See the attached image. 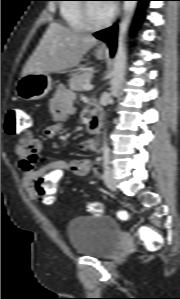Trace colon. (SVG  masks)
Wrapping results in <instances>:
<instances>
[{"mask_svg": "<svg viewBox=\"0 0 180 299\" xmlns=\"http://www.w3.org/2000/svg\"><path fill=\"white\" fill-rule=\"evenodd\" d=\"M30 120V115L23 109H10L5 122V131L12 136L18 135L29 127ZM37 191L43 203L52 204L56 198L57 186L55 182L40 183L37 187ZM87 209L91 214L95 215H100L104 212V206L98 202L90 203ZM119 217L122 220L129 219V215L123 212L119 213ZM138 231L149 250L157 251L161 248L163 237L160 233L147 225L140 226Z\"/></svg>", "mask_w": 180, "mask_h": 299, "instance_id": "colon-1", "label": "colon"}]
</instances>
